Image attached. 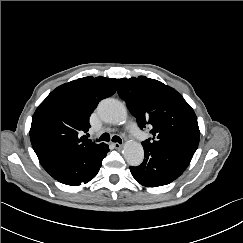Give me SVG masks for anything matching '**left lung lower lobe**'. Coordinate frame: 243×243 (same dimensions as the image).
Here are the masks:
<instances>
[{
	"mask_svg": "<svg viewBox=\"0 0 243 243\" xmlns=\"http://www.w3.org/2000/svg\"><path fill=\"white\" fill-rule=\"evenodd\" d=\"M144 161L130 167L132 176L145 187H158L177 179L189 165L194 151L143 145Z\"/></svg>",
	"mask_w": 243,
	"mask_h": 243,
	"instance_id": "left-lung-lower-lobe-1",
	"label": "left lung lower lobe"
}]
</instances>
